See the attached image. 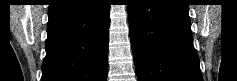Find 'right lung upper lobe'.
Instances as JSON below:
<instances>
[{
  "label": "right lung upper lobe",
  "mask_w": 237,
  "mask_h": 81,
  "mask_svg": "<svg viewBox=\"0 0 237 81\" xmlns=\"http://www.w3.org/2000/svg\"><path fill=\"white\" fill-rule=\"evenodd\" d=\"M62 1H64V0H53L52 4H50L49 6L56 5V4H58V3L62 2Z\"/></svg>",
  "instance_id": "cb5924a9"
}]
</instances>
